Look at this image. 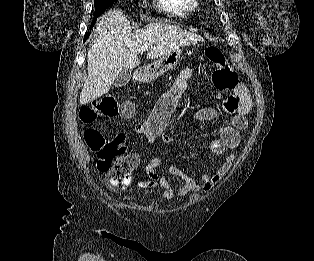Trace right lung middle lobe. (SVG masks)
I'll return each mask as SVG.
<instances>
[{
    "label": "right lung middle lobe",
    "instance_id": "dd1d6c3e",
    "mask_svg": "<svg viewBox=\"0 0 314 261\" xmlns=\"http://www.w3.org/2000/svg\"><path fill=\"white\" fill-rule=\"evenodd\" d=\"M114 3V0H95L94 4H95V17L93 19V22L91 24V26H93L96 22V17L101 14L104 10H106L108 7H110L112 4Z\"/></svg>",
    "mask_w": 314,
    "mask_h": 261
}]
</instances>
